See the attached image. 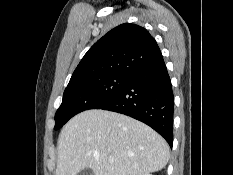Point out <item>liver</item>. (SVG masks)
Listing matches in <instances>:
<instances>
[{
	"label": "liver",
	"mask_w": 233,
	"mask_h": 175,
	"mask_svg": "<svg viewBox=\"0 0 233 175\" xmlns=\"http://www.w3.org/2000/svg\"><path fill=\"white\" fill-rule=\"evenodd\" d=\"M168 160L169 146L152 128L120 113L92 109L63 127L56 175H77L86 168L94 175H146L162 170Z\"/></svg>",
	"instance_id": "liver-1"
}]
</instances>
